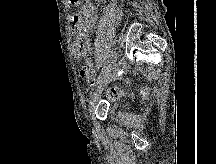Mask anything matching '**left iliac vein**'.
<instances>
[{
  "label": "left iliac vein",
  "instance_id": "4c4485c4",
  "mask_svg": "<svg viewBox=\"0 0 216 164\" xmlns=\"http://www.w3.org/2000/svg\"><path fill=\"white\" fill-rule=\"evenodd\" d=\"M117 52L114 54V62L111 64V69L107 70V73L104 74V77H102L101 81L99 82V85L95 92L92 94L90 99V105H89V114L88 117L91 118L96 106L97 101L99 100L100 94L102 93L103 89L107 86V84L110 82L111 79L114 78L116 71L121 67V62H117Z\"/></svg>",
  "mask_w": 216,
  "mask_h": 164
}]
</instances>
